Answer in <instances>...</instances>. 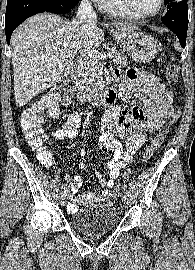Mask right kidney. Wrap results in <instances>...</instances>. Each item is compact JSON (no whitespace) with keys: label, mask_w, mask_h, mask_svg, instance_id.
Listing matches in <instances>:
<instances>
[{"label":"right kidney","mask_w":195,"mask_h":270,"mask_svg":"<svg viewBox=\"0 0 195 270\" xmlns=\"http://www.w3.org/2000/svg\"><path fill=\"white\" fill-rule=\"evenodd\" d=\"M49 115L53 118H59L60 110L55 106L49 110Z\"/></svg>","instance_id":"1"}]
</instances>
